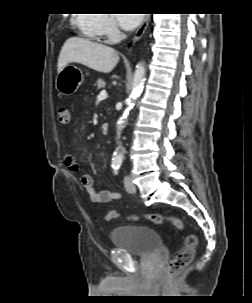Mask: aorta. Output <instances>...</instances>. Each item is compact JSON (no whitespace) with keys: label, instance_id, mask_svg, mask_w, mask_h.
<instances>
[{"label":"aorta","instance_id":"aorta-1","mask_svg":"<svg viewBox=\"0 0 252 303\" xmlns=\"http://www.w3.org/2000/svg\"><path fill=\"white\" fill-rule=\"evenodd\" d=\"M145 73H146V69L144 67V63L143 62L138 63L132 81L131 93L129 95V98L127 99V108L125 109L123 116L119 119L117 124L118 139L120 137V131L122 130L126 122V118L129 115L131 109L134 107L135 102L141 93ZM123 159H124V150L121 147V142L118 141V149L113 154L112 164L119 166L122 164Z\"/></svg>","mask_w":252,"mask_h":303}]
</instances>
